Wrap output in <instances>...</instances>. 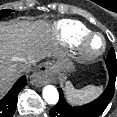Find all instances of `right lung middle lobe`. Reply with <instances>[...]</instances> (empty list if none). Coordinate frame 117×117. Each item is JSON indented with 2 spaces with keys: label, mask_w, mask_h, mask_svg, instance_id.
<instances>
[{
  "label": "right lung middle lobe",
  "mask_w": 117,
  "mask_h": 117,
  "mask_svg": "<svg viewBox=\"0 0 117 117\" xmlns=\"http://www.w3.org/2000/svg\"><path fill=\"white\" fill-rule=\"evenodd\" d=\"M11 12H13V10H8V9H5V10H0V19L6 17L8 14H10Z\"/></svg>",
  "instance_id": "dd1d6c3e"
}]
</instances>
